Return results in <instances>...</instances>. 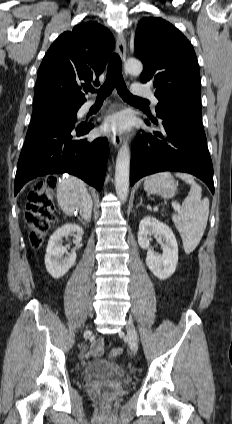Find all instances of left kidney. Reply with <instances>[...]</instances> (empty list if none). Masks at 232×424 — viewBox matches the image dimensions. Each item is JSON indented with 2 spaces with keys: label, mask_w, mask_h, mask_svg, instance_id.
I'll return each mask as SVG.
<instances>
[{
  "label": "left kidney",
  "mask_w": 232,
  "mask_h": 424,
  "mask_svg": "<svg viewBox=\"0 0 232 424\" xmlns=\"http://www.w3.org/2000/svg\"><path fill=\"white\" fill-rule=\"evenodd\" d=\"M149 235L163 238L161 255H156L150 247ZM138 243L142 249L147 250L146 265L157 278L165 280L175 272L178 263V245L168 225L154 217L143 218L139 225Z\"/></svg>",
  "instance_id": "left-kidney-1"
}]
</instances>
